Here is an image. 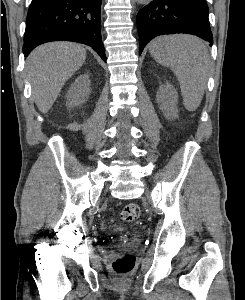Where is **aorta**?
I'll return each instance as SVG.
<instances>
[{"mask_svg":"<svg viewBox=\"0 0 245 300\" xmlns=\"http://www.w3.org/2000/svg\"><path fill=\"white\" fill-rule=\"evenodd\" d=\"M139 4H147L150 0H136Z\"/></svg>","mask_w":245,"mask_h":300,"instance_id":"762f6f07","label":"aorta"}]
</instances>
